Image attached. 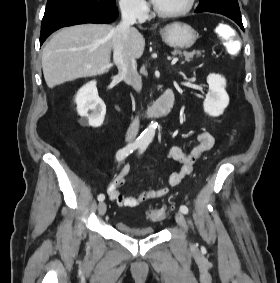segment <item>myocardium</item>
<instances>
[{"instance_id": "f54148a6", "label": "myocardium", "mask_w": 280, "mask_h": 283, "mask_svg": "<svg viewBox=\"0 0 280 283\" xmlns=\"http://www.w3.org/2000/svg\"><path fill=\"white\" fill-rule=\"evenodd\" d=\"M196 0H187L185 6L179 10L173 11V12H161L159 11L155 5L153 7L154 13L163 19H172V18H177V17H181L183 15H186L187 13H189L192 8L195 5Z\"/></svg>"}]
</instances>
